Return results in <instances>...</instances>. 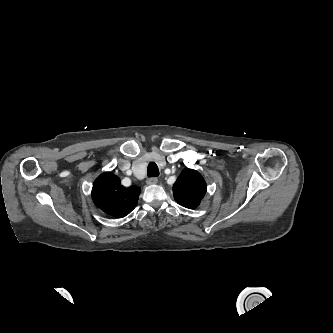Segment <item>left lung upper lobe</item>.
<instances>
[{
    "label": "left lung upper lobe",
    "mask_w": 333,
    "mask_h": 333,
    "mask_svg": "<svg viewBox=\"0 0 333 333\" xmlns=\"http://www.w3.org/2000/svg\"><path fill=\"white\" fill-rule=\"evenodd\" d=\"M206 193L202 175L192 169H184L173 185L174 198L183 207L194 209Z\"/></svg>",
    "instance_id": "1"
}]
</instances>
